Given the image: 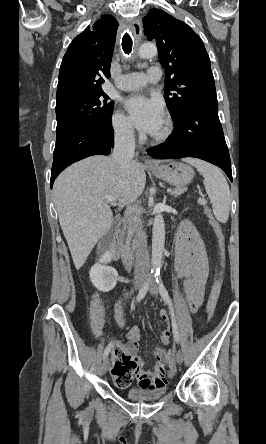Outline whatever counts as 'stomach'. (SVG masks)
Masks as SVG:
<instances>
[{"label": "stomach", "instance_id": "stomach-1", "mask_svg": "<svg viewBox=\"0 0 266 444\" xmlns=\"http://www.w3.org/2000/svg\"><path fill=\"white\" fill-rule=\"evenodd\" d=\"M149 171L157 178L178 188L189 184L194 177V170L191 166L177 161H170L155 169H149Z\"/></svg>", "mask_w": 266, "mask_h": 444}]
</instances>
